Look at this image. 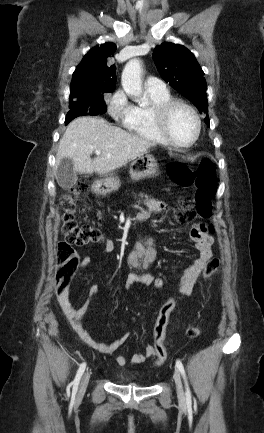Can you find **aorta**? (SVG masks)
Masks as SVG:
<instances>
[{
  "label": "aorta",
  "instance_id": "1",
  "mask_svg": "<svg viewBox=\"0 0 264 433\" xmlns=\"http://www.w3.org/2000/svg\"><path fill=\"white\" fill-rule=\"evenodd\" d=\"M121 84L129 96L139 97L142 94L141 63L139 59H131L127 62L122 72Z\"/></svg>",
  "mask_w": 264,
  "mask_h": 433
}]
</instances>
